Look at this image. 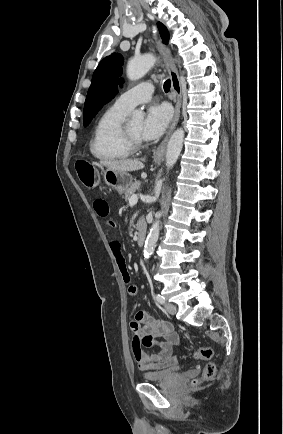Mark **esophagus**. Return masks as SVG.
I'll list each match as a JSON object with an SVG mask.
<instances>
[{
  "mask_svg": "<svg viewBox=\"0 0 283 434\" xmlns=\"http://www.w3.org/2000/svg\"><path fill=\"white\" fill-rule=\"evenodd\" d=\"M156 46L164 60L165 67L171 79L172 92L175 95V115L172 124L165 138L163 139V141L160 143V145L157 147V149L153 154L154 161H161L164 158L167 141L179 121L181 102H182V91H181V83H180L179 75L171 60L169 50L166 48V46L162 43L160 39L156 40Z\"/></svg>",
  "mask_w": 283,
  "mask_h": 434,
  "instance_id": "34e87169",
  "label": "esophagus"
}]
</instances>
